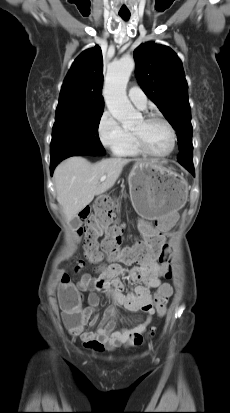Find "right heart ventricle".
<instances>
[{"label":"right heart ventricle","mask_w":230,"mask_h":413,"mask_svg":"<svg viewBox=\"0 0 230 413\" xmlns=\"http://www.w3.org/2000/svg\"><path fill=\"white\" fill-rule=\"evenodd\" d=\"M141 154V150L135 140V137L130 133V138L125 146L118 152L120 156L135 157Z\"/></svg>","instance_id":"obj_1"}]
</instances>
